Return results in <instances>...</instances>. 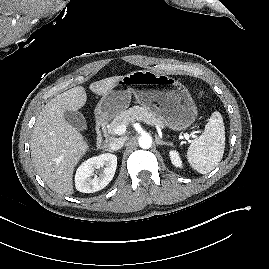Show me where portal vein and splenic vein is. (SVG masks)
Instances as JSON below:
<instances>
[{"label": "portal vein and splenic vein", "mask_w": 269, "mask_h": 269, "mask_svg": "<svg viewBox=\"0 0 269 269\" xmlns=\"http://www.w3.org/2000/svg\"><path fill=\"white\" fill-rule=\"evenodd\" d=\"M126 132V125L122 124V125H118L115 129H114V134L117 135H122ZM196 132H192L191 134L188 133H183V136L186 140H189V138H196L197 136L195 135Z\"/></svg>", "instance_id": "portal-vein-and-splenic-vein-1"}]
</instances>
